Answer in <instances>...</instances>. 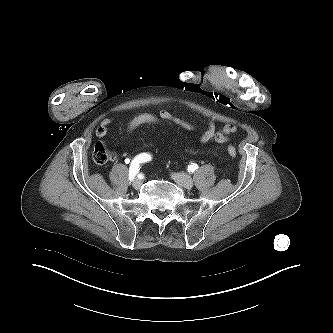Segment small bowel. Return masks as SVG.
I'll list each match as a JSON object with an SVG mask.
<instances>
[{"mask_svg": "<svg viewBox=\"0 0 333 333\" xmlns=\"http://www.w3.org/2000/svg\"><path fill=\"white\" fill-rule=\"evenodd\" d=\"M159 115L167 122L173 123L185 130L191 131L196 129V125L190 121H187L183 118L176 116L167 110L160 111ZM114 117L104 118L99 127L96 130V136L98 138H104L107 134V128L110 124L114 122ZM205 130L201 136V143L206 145L212 142L218 144H227L229 142V135L236 133L237 127L233 124H226L221 129L217 130L216 123L211 118H206L205 122Z\"/></svg>", "mask_w": 333, "mask_h": 333, "instance_id": "small-bowel-1", "label": "small bowel"}]
</instances>
